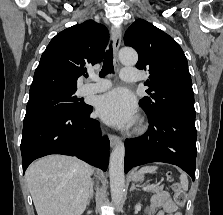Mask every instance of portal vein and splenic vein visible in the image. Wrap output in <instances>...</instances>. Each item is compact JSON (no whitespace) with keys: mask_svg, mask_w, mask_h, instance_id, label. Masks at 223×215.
<instances>
[{"mask_svg":"<svg viewBox=\"0 0 223 215\" xmlns=\"http://www.w3.org/2000/svg\"><path fill=\"white\" fill-rule=\"evenodd\" d=\"M152 187L153 188H156L157 187V184L156 183H153L152 185H150L149 183H146L145 184V187H143V189L152 190Z\"/></svg>","mask_w":223,"mask_h":215,"instance_id":"obj_1","label":"portal vein and splenic vein"}]
</instances>
